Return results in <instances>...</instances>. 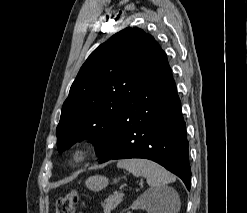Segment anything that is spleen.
Listing matches in <instances>:
<instances>
[{
	"instance_id": "3e777b00",
	"label": "spleen",
	"mask_w": 247,
	"mask_h": 213,
	"mask_svg": "<svg viewBox=\"0 0 247 213\" xmlns=\"http://www.w3.org/2000/svg\"><path fill=\"white\" fill-rule=\"evenodd\" d=\"M118 168L126 169L134 176H143L146 178L151 190L155 191L160 187H165L166 184L174 182L175 176L168 172L165 168L145 159H126L120 160L117 163ZM173 208L170 213H177L179 210L178 197L173 196L171 201H168L166 206ZM162 205V203H161ZM162 212V211H161Z\"/></svg>"
}]
</instances>
